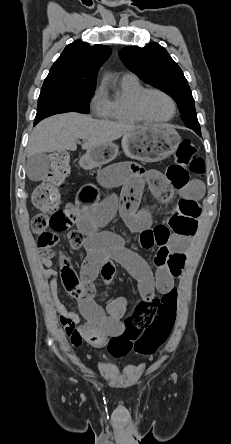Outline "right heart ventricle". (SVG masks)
<instances>
[{
  "label": "right heart ventricle",
  "instance_id": "1",
  "mask_svg": "<svg viewBox=\"0 0 231 444\" xmlns=\"http://www.w3.org/2000/svg\"><path fill=\"white\" fill-rule=\"evenodd\" d=\"M144 89L136 77H122L120 94L109 100L105 118L122 124H137L141 120L135 115L132 105L136 95Z\"/></svg>",
  "mask_w": 231,
  "mask_h": 444
}]
</instances>
